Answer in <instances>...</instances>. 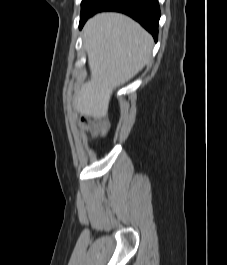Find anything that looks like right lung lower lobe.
<instances>
[{
	"label": "right lung lower lobe",
	"instance_id": "right-lung-lower-lobe-1",
	"mask_svg": "<svg viewBox=\"0 0 227 265\" xmlns=\"http://www.w3.org/2000/svg\"><path fill=\"white\" fill-rule=\"evenodd\" d=\"M102 11H117L132 17L149 31L154 40L157 41L160 18L158 0H104L91 16ZM86 20L80 22V28Z\"/></svg>",
	"mask_w": 227,
	"mask_h": 265
}]
</instances>
